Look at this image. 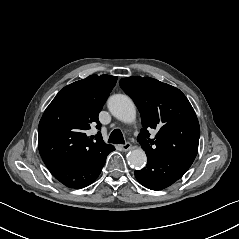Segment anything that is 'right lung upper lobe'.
Returning <instances> with one entry per match:
<instances>
[{
  "label": "right lung upper lobe",
  "instance_id": "cb5924a9",
  "mask_svg": "<svg viewBox=\"0 0 239 239\" xmlns=\"http://www.w3.org/2000/svg\"><path fill=\"white\" fill-rule=\"evenodd\" d=\"M117 77L90 75L64 87L45 110L38 127V148L45 164L80 161L109 147L101 133L89 138L91 124L101 125L98 114Z\"/></svg>",
  "mask_w": 239,
  "mask_h": 239
}]
</instances>
